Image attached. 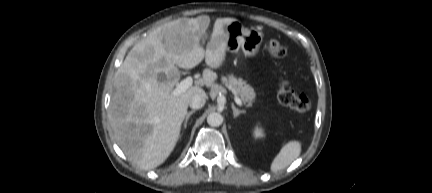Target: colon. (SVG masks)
I'll return each instance as SVG.
<instances>
[{
    "mask_svg": "<svg viewBox=\"0 0 432 193\" xmlns=\"http://www.w3.org/2000/svg\"><path fill=\"white\" fill-rule=\"evenodd\" d=\"M265 52L271 58L279 59L286 55V48L277 39H270L264 47ZM279 102L297 112L304 113L311 109V101L304 94H296L289 86L288 81L283 80L278 88Z\"/></svg>",
    "mask_w": 432,
    "mask_h": 193,
    "instance_id": "obj_1",
    "label": "colon"
}]
</instances>
